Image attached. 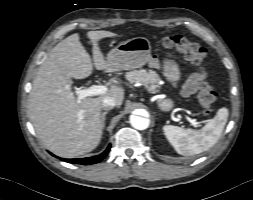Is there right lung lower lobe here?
<instances>
[{
	"label": "right lung lower lobe",
	"mask_w": 253,
	"mask_h": 200,
	"mask_svg": "<svg viewBox=\"0 0 253 200\" xmlns=\"http://www.w3.org/2000/svg\"><path fill=\"white\" fill-rule=\"evenodd\" d=\"M110 148H111V145H109L102 154L94 156V157L79 158V159H62V160L69 163H74V164H83V165L95 164V163L100 162L102 159L106 157Z\"/></svg>",
	"instance_id": "98d812e1"
}]
</instances>
